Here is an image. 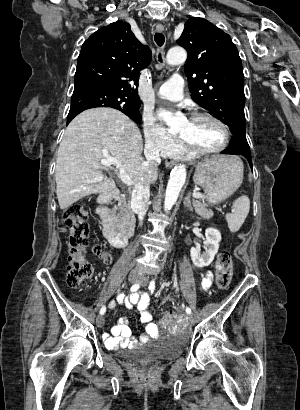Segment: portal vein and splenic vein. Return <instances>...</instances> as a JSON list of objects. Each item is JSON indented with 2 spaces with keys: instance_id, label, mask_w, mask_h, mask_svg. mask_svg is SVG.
Returning a JSON list of instances; mask_svg holds the SVG:
<instances>
[{
  "instance_id": "1",
  "label": "portal vein and splenic vein",
  "mask_w": 300,
  "mask_h": 410,
  "mask_svg": "<svg viewBox=\"0 0 300 410\" xmlns=\"http://www.w3.org/2000/svg\"><path fill=\"white\" fill-rule=\"evenodd\" d=\"M103 155L105 159L101 160V164L103 165H112V164L118 165L119 164L118 160L111 157L107 152H103ZM120 179L127 186H132L134 184L132 180L129 178V176L125 174L124 169L122 168L120 169ZM193 197L194 198H205L204 195H202L199 192H195V191L193 192Z\"/></svg>"
}]
</instances>
